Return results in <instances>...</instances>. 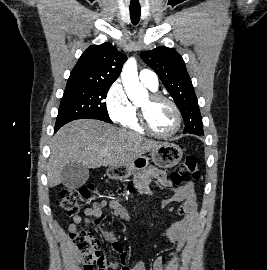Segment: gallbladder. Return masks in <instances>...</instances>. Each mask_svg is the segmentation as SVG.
Masks as SVG:
<instances>
[{"instance_id":"gallbladder-1","label":"gallbladder","mask_w":267,"mask_h":270,"mask_svg":"<svg viewBox=\"0 0 267 270\" xmlns=\"http://www.w3.org/2000/svg\"><path fill=\"white\" fill-rule=\"evenodd\" d=\"M89 169L80 163H69L62 171V184L69 189H76L86 183Z\"/></svg>"}]
</instances>
